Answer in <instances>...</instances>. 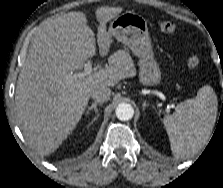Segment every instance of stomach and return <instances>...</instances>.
<instances>
[{
  "label": "stomach",
  "instance_id": "obj_1",
  "mask_svg": "<svg viewBox=\"0 0 223 188\" xmlns=\"http://www.w3.org/2000/svg\"><path fill=\"white\" fill-rule=\"evenodd\" d=\"M108 32L140 58L142 84L154 85L161 81L160 69L153 59L147 22L142 16L133 12L120 14L111 21Z\"/></svg>",
  "mask_w": 223,
  "mask_h": 188
}]
</instances>
